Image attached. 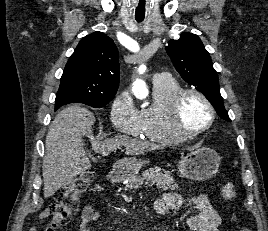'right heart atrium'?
<instances>
[{
    "instance_id": "right-heart-atrium-1",
    "label": "right heart atrium",
    "mask_w": 268,
    "mask_h": 231,
    "mask_svg": "<svg viewBox=\"0 0 268 231\" xmlns=\"http://www.w3.org/2000/svg\"><path fill=\"white\" fill-rule=\"evenodd\" d=\"M110 117L113 126L119 132L137 137L142 134L140 109L128 90L119 92L113 99L110 108Z\"/></svg>"
}]
</instances>
